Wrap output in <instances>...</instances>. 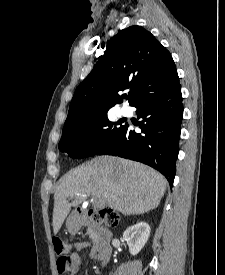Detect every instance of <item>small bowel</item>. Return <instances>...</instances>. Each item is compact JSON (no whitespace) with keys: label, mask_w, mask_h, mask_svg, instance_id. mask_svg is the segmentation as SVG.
<instances>
[{"label":"small bowel","mask_w":225,"mask_h":275,"mask_svg":"<svg viewBox=\"0 0 225 275\" xmlns=\"http://www.w3.org/2000/svg\"><path fill=\"white\" fill-rule=\"evenodd\" d=\"M88 242L80 241L77 242L74 246V251L68 257L70 262V273L77 274L81 269V258H80V251L85 249L88 246Z\"/></svg>","instance_id":"small-bowel-1"}]
</instances>
